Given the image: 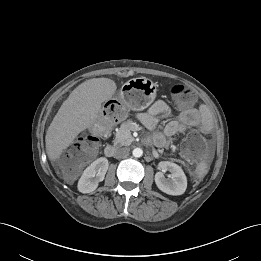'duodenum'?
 <instances>
[{"instance_id": "obj_1", "label": "duodenum", "mask_w": 261, "mask_h": 261, "mask_svg": "<svg viewBox=\"0 0 261 261\" xmlns=\"http://www.w3.org/2000/svg\"><path fill=\"white\" fill-rule=\"evenodd\" d=\"M116 152V148L115 146L113 145H108L105 147L104 149V154L107 156V157H112Z\"/></svg>"}]
</instances>
